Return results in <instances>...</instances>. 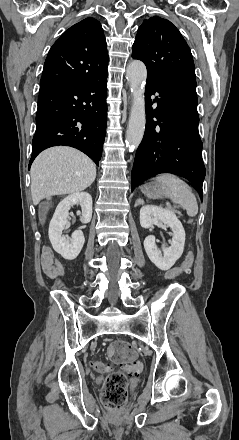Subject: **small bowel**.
Wrapping results in <instances>:
<instances>
[{
	"label": "small bowel",
	"instance_id": "obj_1",
	"mask_svg": "<svg viewBox=\"0 0 239 440\" xmlns=\"http://www.w3.org/2000/svg\"><path fill=\"white\" fill-rule=\"evenodd\" d=\"M41 263L45 274L52 279L64 274L62 263L54 256L53 251L48 247H45L42 251Z\"/></svg>",
	"mask_w": 239,
	"mask_h": 440
}]
</instances>
